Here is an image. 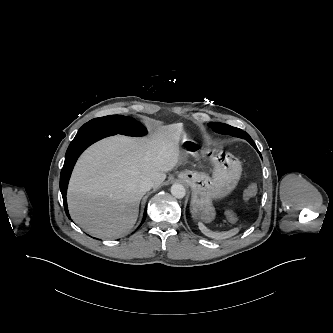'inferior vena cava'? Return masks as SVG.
<instances>
[{"label":"inferior vena cava","instance_id":"inferior-vena-cava-1","mask_svg":"<svg viewBox=\"0 0 333 333\" xmlns=\"http://www.w3.org/2000/svg\"><path fill=\"white\" fill-rule=\"evenodd\" d=\"M153 187V182L149 178L142 179L138 184V189L145 193Z\"/></svg>","mask_w":333,"mask_h":333}]
</instances>
